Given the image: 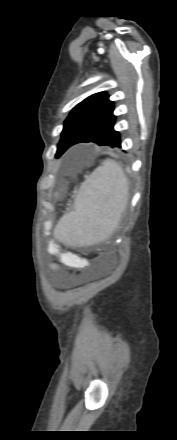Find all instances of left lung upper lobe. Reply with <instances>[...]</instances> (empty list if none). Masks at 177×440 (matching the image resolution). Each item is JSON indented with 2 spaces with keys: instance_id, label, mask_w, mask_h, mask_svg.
<instances>
[{
  "instance_id": "obj_1",
  "label": "left lung upper lobe",
  "mask_w": 177,
  "mask_h": 440,
  "mask_svg": "<svg viewBox=\"0 0 177 440\" xmlns=\"http://www.w3.org/2000/svg\"><path fill=\"white\" fill-rule=\"evenodd\" d=\"M114 103L108 94H93L73 108L64 122L56 157L61 156L70 146L78 143L98 127L115 118Z\"/></svg>"
}]
</instances>
